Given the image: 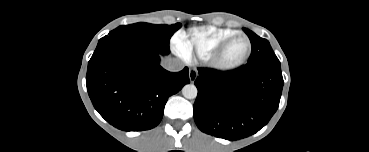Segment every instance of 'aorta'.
Listing matches in <instances>:
<instances>
[{
    "label": "aorta",
    "instance_id": "obj_1",
    "mask_svg": "<svg viewBox=\"0 0 369 152\" xmlns=\"http://www.w3.org/2000/svg\"><path fill=\"white\" fill-rule=\"evenodd\" d=\"M198 90L194 84H187L182 88V94L187 99H194L197 97Z\"/></svg>",
    "mask_w": 369,
    "mask_h": 152
}]
</instances>
